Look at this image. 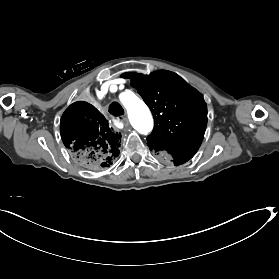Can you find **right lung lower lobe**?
<instances>
[{
    "instance_id": "98d812e1",
    "label": "right lung lower lobe",
    "mask_w": 279,
    "mask_h": 279,
    "mask_svg": "<svg viewBox=\"0 0 279 279\" xmlns=\"http://www.w3.org/2000/svg\"><path fill=\"white\" fill-rule=\"evenodd\" d=\"M60 134L72 158L83 168L109 167L119 155L121 133L87 102H75L65 110Z\"/></svg>"
}]
</instances>
